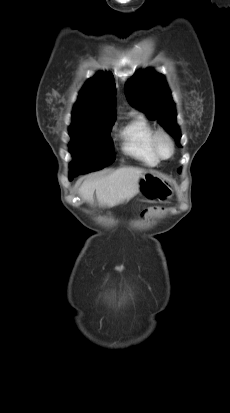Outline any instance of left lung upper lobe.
<instances>
[{
	"mask_svg": "<svg viewBox=\"0 0 230 413\" xmlns=\"http://www.w3.org/2000/svg\"><path fill=\"white\" fill-rule=\"evenodd\" d=\"M125 94L133 107L146 113L149 118L156 119L181 147L175 104L162 74L153 69L139 71L127 82Z\"/></svg>",
	"mask_w": 230,
	"mask_h": 413,
	"instance_id": "1",
	"label": "left lung upper lobe"
}]
</instances>
